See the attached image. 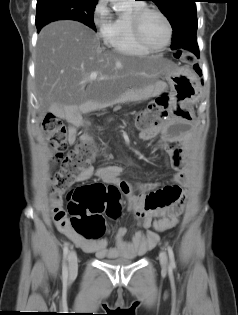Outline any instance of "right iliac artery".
Here are the masks:
<instances>
[{"instance_id": "right-iliac-artery-1", "label": "right iliac artery", "mask_w": 238, "mask_h": 315, "mask_svg": "<svg viewBox=\"0 0 238 315\" xmlns=\"http://www.w3.org/2000/svg\"><path fill=\"white\" fill-rule=\"evenodd\" d=\"M68 251H69L68 243H65L64 248H63V267H62V278L64 281H66L68 278V268L66 264Z\"/></svg>"}]
</instances>
